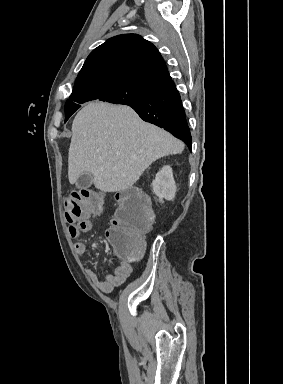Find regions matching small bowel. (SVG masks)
Returning a JSON list of instances; mask_svg holds the SVG:
<instances>
[{"label":"small bowel","instance_id":"c3829d8e","mask_svg":"<svg viewBox=\"0 0 283 384\" xmlns=\"http://www.w3.org/2000/svg\"><path fill=\"white\" fill-rule=\"evenodd\" d=\"M93 223L90 219H85L83 222L76 226L69 227V233L71 237L76 238L81 233L88 232L92 229ZM74 250L78 255H84L87 250V246L83 241H77L74 244ZM86 272L92 282L103 292L110 293L116 287L123 284L132 272V265L128 261H121L114 269L112 274H108L104 279H100L96 273L90 269H86Z\"/></svg>","mask_w":283,"mask_h":384}]
</instances>
